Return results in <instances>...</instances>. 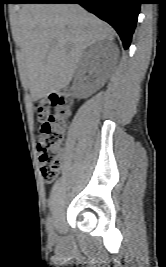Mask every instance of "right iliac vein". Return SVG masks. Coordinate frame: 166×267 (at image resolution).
<instances>
[{
	"label": "right iliac vein",
	"mask_w": 166,
	"mask_h": 267,
	"mask_svg": "<svg viewBox=\"0 0 166 267\" xmlns=\"http://www.w3.org/2000/svg\"><path fill=\"white\" fill-rule=\"evenodd\" d=\"M49 239L51 241L56 239V234H55V232L53 230L51 232H49Z\"/></svg>",
	"instance_id": "63e3f726"
}]
</instances>
